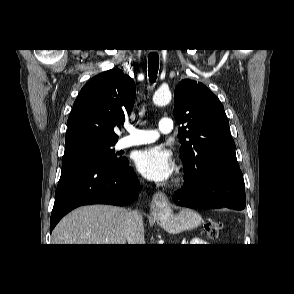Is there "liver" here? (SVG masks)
Listing matches in <instances>:
<instances>
[{
	"label": "liver",
	"instance_id": "liver-1",
	"mask_svg": "<svg viewBox=\"0 0 294 294\" xmlns=\"http://www.w3.org/2000/svg\"><path fill=\"white\" fill-rule=\"evenodd\" d=\"M128 210L88 205L66 215L52 233L53 244H126Z\"/></svg>",
	"mask_w": 294,
	"mask_h": 294
}]
</instances>
